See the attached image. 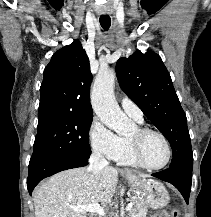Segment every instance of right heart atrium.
I'll return each instance as SVG.
<instances>
[{
  "label": "right heart atrium",
  "mask_w": 211,
  "mask_h": 217,
  "mask_svg": "<svg viewBox=\"0 0 211 217\" xmlns=\"http://www.w3.org/2000/svg\"><path fill=\"white\" fill-rule=\"evenodd\" d=\"M89 141L94 152L114 160L122 145L121 137L99 119H93L89 127Z\"/></svg>",
  "instance_id": "1"
}]
</instances>
